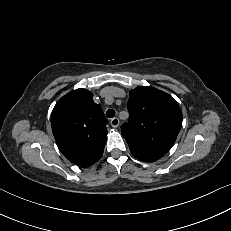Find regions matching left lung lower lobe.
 I'll use <instances>...</instances> for the list:
<instances>
[{
    "label": "left lung lower lobe",
    "instance_id": "obj_1",
    "mask_svg": "<svg viewBox=\"0 0 231 231\" xmlns=\"http://www.w3.org/2000/svg\"><path fill=\"white\" fill-rule=\"evenodd\" d=\"M135 157H136V156H135ZM136 158H138V157H136ZM138 159H140V160H142V161H145V162H153V161L145 160V159H142V158H138Z\"/></svg>",
    "mask_w": 231,
    "mask_h": 231
}]
</instances>
